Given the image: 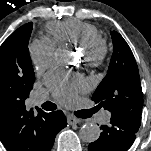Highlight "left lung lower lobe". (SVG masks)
<instances>
[{"mask_svg":"<svg viewBox=\"0 0 151 151\" xmlns=\"http://www.w3.org/2000/svg\"><path fill=\"white\" fill-rule=\"evenodd\" d=\"M98 140L89 144V151H127L135 140V133L125 124L112 120L101 126Z\"/></svg>","mask_w":151,"mask_h":151,"instance_id":"obj_1","label":"left lung lower lobe"}]
</instances>
